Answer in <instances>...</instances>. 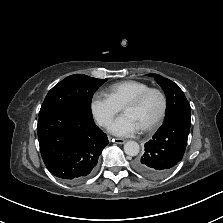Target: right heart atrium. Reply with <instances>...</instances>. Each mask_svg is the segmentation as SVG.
<instances>
[{
  "instance_id": "1",
  "label": "right heart atrium",
  "mask_w": 223,
  "mask_h": 223,
  "mask_svg": "<svg viewBox=\"0 0 223 223\" xmlns=\"http://www.w3.org/2000/svg\"><path fill=\"white\" fill-rule=\"evenodd\" d=\"M91 112L102 127H107L121 108L107 95L95 93L91 99Z\"/></svg>"
}]
</instances>
